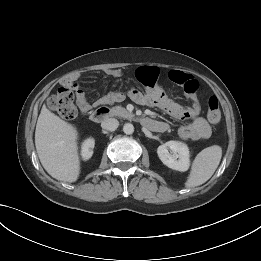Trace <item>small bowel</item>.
Instances as JSON below:
<instances>
[{
  "label": "small bowel",
  "instance_id": "small-bowel-1",
  "mask_svg": "<svg viewBox=\"0 0 261 261\" xmlns=\"http://www.w3.org/2000/svg\"><path fill=\"white\" fill-rule=\"evenodd\" d=\"M105 73L109 76L119 77L122 74L120 69H108ZM138 79L146 84H153L159 75V70L155 67L145 66L137 70ZM168 78L174 83L183 87L185 95L190 102L189 106H182L170 98L159 88H154L146 93H142L136 88L128 91V96L135 102L143 105H155L161 110L179 120H189L179 128V136L184 140H205L211 136V127L207 120L200 116L201 106L197 97L198 82L188 73L171 70L168 72ZM76 93V101L81 111L87 112L91 105L87 100L86 93L82 90L75 80L66 81ZM125 98L124 93L112 91L102 96L98 103H116ZM165 125V124H164ZM166 126V125H165Z\"/></svg>",
  "mask_w": 261,
  "mask_h": 261
}]
</instances>
